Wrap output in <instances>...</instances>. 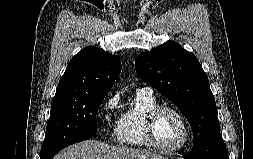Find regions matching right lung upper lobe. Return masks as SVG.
<instances>
[{
	"label": "right lung upper lobe",
	"instance_id": "obj_1",
	"mask_svg": "<svg viewBox=\"0 0 253 159\" xmlns=\"http://www.w3.org/2000/svg\"><path fill=\"white\" fill-rule=\"evenodd\" d=\"M120 71L121 62L117 56L96 47H85L71 59L54 98L106 95Z\"/></svg>",
	"mask_w": 253,
	"mask_h": 159
}]
</instances>
